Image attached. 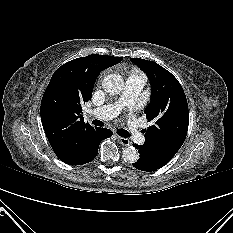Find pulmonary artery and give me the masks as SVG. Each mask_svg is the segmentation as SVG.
Instances as JSON below:
<instances>
[{
  "instance_id": "1",
  "label": "pulmonary artery",
  "mask_w": 233,
  "mask_h": 233,
  "mask_svg": "<svg viewBox=\"0 0 233 233\" xmlns=\"http://www.w3.org/2000/svg\"><path fill=\"white\" fill-rule=\"evenodd\" d=\"M145 82L146 78L143 74H130L126 79L123 93L117 102L90 110L89 114L101 120H109L117 116L124 106H127L132 111ZM129 132L136 143L144 142V136L140 132L138 123L133 116L129 120Z\"/></svg>"
}]
</instances>
